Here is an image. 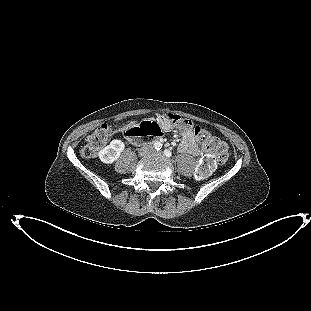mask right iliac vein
I'll return each instance as SVG.
<instances>
[{
    "mask_svg": "<svg viewBox=\"0 0 311 311\" xmlns=\"http://www.w3.org/2000/svg\"><path fill=\"white\" fill-rule=\"evenodd\" d=\"M150 153H151V149H150L148 146H146V147H143V148L140 150L139 155H140L141 157H143V156H146V155H148V154H150Z\"/></svg>",
    "mask_w": 311,
    "mask_h": 311,
    "instance_id": "obj_1",
    "label": "right iliac vein"
}]
</instances>
